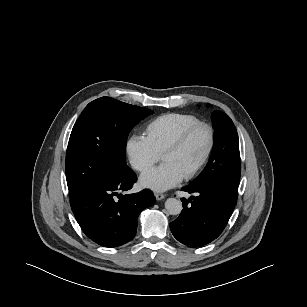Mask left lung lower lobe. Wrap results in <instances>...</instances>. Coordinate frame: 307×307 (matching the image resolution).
<instances>
[{"instance_id": "left-lung-lower-lobe-1", "label": "left lung lower lobe", "mask_w": 307, "mask_h": 307, "mask_svg": "<svg viewBox=\"0 0 307 307\" xmlns=\"http://www.w3.org/2000/svg\"><path fill=\"white\" fill-rule=\"evenodd\" d=\"M190 194L182 198L183 210L170 223L174 237L189 247L206 245L216 239L226 226L236 205L237 198L222 187L211 184H193L182 188Z\"/></svg>"}]
</instances>
